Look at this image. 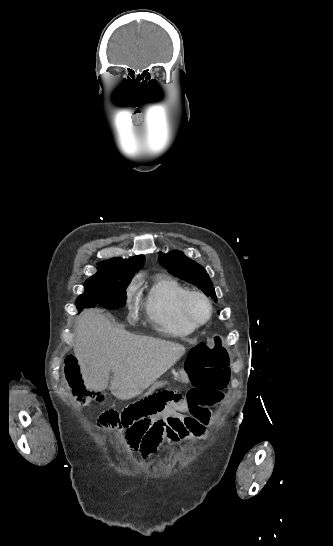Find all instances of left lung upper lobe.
Returning <instances> with one entry per match:
<instances>
[{
  "label": "left lung upper lobe",
  "mask_w": 333,
  "mask_h": 546,
  "mask_svg": "<svg viewBox=\"0 0 333 546\" xmlns=\"http://www.w3.org/2000/svg\"><path fill=\"white\" fill-rule=\"evenodd\" d=\"M158 260L168 272L197 286L207 296H211L217 301L213 283L200 264L186 257L180 251H170L167 254L160 253Z\"/></svg>",
  "instance_id": "left-lung-upper-lobe-1"
}]
</instances>
